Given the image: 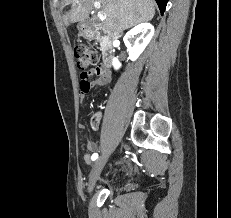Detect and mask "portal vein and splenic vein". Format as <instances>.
Here are the masks:
<instances>
[{
	"mask_svg": "<svg viewBox=\"0 0 231 218\" xmlns=\"http://www.w3.org/2000/svg\"><path fill=\"white\" fill-rule=\"evenodd\" d=\"M94 7L96 9H99L101 7V4L99 1H95L94 2ZM97 16L99 17V19H101L102 21L106 19V15L104 13L98 12Z\"/></svg>",
	"mask_w": 231,
	"mask_h": 218,
	"instance_id": "18ae733b",
	"label": "portal vein and splenic vein"
}]
</instances>
